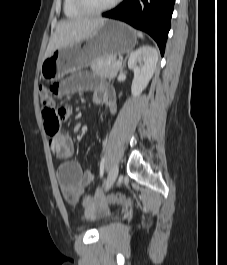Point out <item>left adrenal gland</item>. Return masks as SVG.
Listing matches in <instances>:
<instances>
[{
  "instance_id": "obj_1",
  "label": "left adrenal gland",
  "mask_w": 227,
  "mask_h": 265,
  "mask_svg": "<svg viewBox=\"0 0 227 265\" xmlns=\"http://www.w3.org/2000/svg\"><path fill=\"white\" fill-rule=\"evenodd\" d=\"M125 62H126V58H125V60L123 61V64H122L121 70L124 68V66H125Z\"/></svg>"
}]
</instances>
